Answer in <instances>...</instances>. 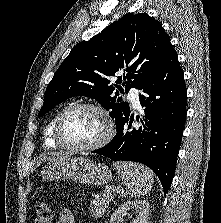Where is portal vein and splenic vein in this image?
Wrapping results in <instances>:
<instances>
[{"mask_svg":"<svg viewBox=\"0 0 221 223\" xmlns=\"http://www.w3.org/2000/svg\"><path fill=\"white\" fill-rule=\"evenodd\" d=\"M115 190L118 191L117 188H115ZM105 193H109V194H111V190H107V192H105Z\"/></svg>","mask_w":221,"mask_h":223,"instance_id":"portal-vein-and-splenic-vein-1","label":"portal vein and splenic vein"}]
</instances>
